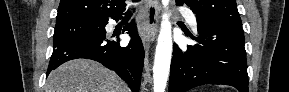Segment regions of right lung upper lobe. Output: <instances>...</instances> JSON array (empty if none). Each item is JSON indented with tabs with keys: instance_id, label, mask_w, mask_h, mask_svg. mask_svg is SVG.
<instances>
[{
	"instance_id": "right-lung-upper-lobe-1",
	"label": "right lung upper lobe",
	"mask_w": 289,
	"mask_h": 92,
	"mask_svg": "<svg viewBox=\"0 0 289 92\" xmlns=\"http://www.w3.org/2000/svg\"><path fill=\"white\" fill-rule=\"evenodd\" d=\"M125 0H61L56 24L70 21H106L124 12Z\"/></svg>"
}]
</instances>
